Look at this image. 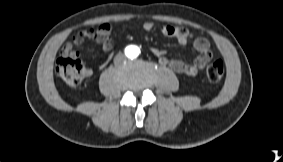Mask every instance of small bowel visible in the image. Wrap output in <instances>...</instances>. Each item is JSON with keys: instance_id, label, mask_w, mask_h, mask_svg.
Wrapping results in <instances>:
<instances>
[{"instance_id": "obj_1", "label": "small bowel", "mask_w": 283, "mask_h": 162, "mask_svg": "<svg viewBox=\"0 0 283 162\" xmlns=\"http://www.w3.org/2000/svg\"><path fill=\"white\" fill-rule=\"evenodd\" d=\"M141 27L145 31H151L155 28V24L152 21H145L141 24ZM111 25L109 23H103L97 29H90L77 32L72 42L65 44L61 50L62 56H78L73 50L75 45H80L85 38L95 39L101 44L103 50H110L113 46V40L111 37ZM160 32L169 38H174L180 45H185L192 39V33L183 27L174 25H162ZM194 49L200 53L199 56L193 57L190 63L180 58H168L165 51L152 48V53L158 58L161 65L167 66L173 71L183 74L188 77H193L197 73L207 66L208 61L211 58L209 41L204 37H197L193 40Z\"/></svg>"}]
</instances>
